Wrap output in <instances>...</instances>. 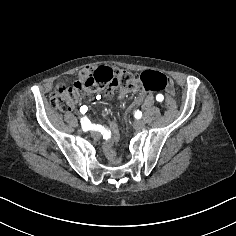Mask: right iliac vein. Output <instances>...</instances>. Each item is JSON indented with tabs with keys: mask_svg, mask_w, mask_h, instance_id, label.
Returning a JSON list of instances; mask_svg holds the SVG:
<instances>
[{
	"mask_svg": "<svg viewBox=\"0 0 236 236\" xmlns=\"http://www.w3.org/2000/svg\"><path fill=\"white\" fill-rule=\"evenodd\" d=\"M91 134H92L93 137H96V136H97V133L94 132V131H93Z\"/></svg>",
	"mask_w": 236,
	"mask_h": 236,
	"instance_id": "obj_1",
	"label": "right iliac vein"
}]
</instances>
